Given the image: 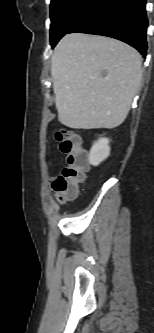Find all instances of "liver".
<instances>
[{
  "mask_svg": "<svg viewBox=\"0 0 154 333\" xmlns=\"http://www.w3.org/2000/svg\"><path fill=\"white\" fill-rule=\"evenodd\" d=\"M142 57L119 40L72 33L57 44L51 76L58 119L73 129H112L126 119L142 79Z\"/></svg>",
  "mask_w": 154,
  "mask_h": 333,
  "instance_id": "6515ba94",
  "label": "liver"
}]
</instances>
